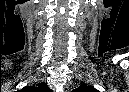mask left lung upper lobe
<instances>
[{
    "instance_id": "left-lung-upper-lobe-1",
    "label": "left lung upper lobe",
    "mask_w": 129,
    "mask_h": 92,
    "mask_svg": "<svg viewBox=\"0 0 129 92\" xmlns=\"http://www.w3.org/2000/svg\"><path fill=\"white\" fill-rule=\"evenodd\" d=\"M78 92H98L95 88L88 87L86 85H82L78 89H76Z\"/></svg>"
}]
</instances>
